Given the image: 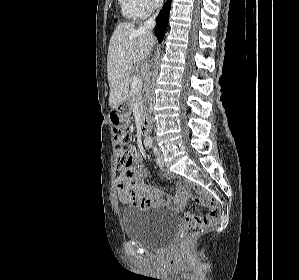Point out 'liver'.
<instances>
[{
  "mask_svg": "<svg viewBox=\"0 0 299 280\" xmlns=\"http://www.w3.org/2000/svg\"><path fill=\"white\" fill-rule=\"evenodd\" d=\"M154 45L153 34L141 24L124 22L117 25L111 36L107 55L111 108L126 101L133 64L145 61Z\"/></svg>",
  "mask_w": 299,
  "mask_h": 280,
  "instance_id": "obj_1",
  "label": "liver"
}]
</instances>
